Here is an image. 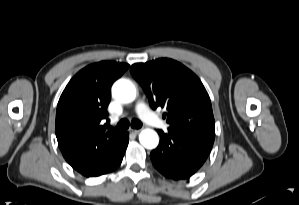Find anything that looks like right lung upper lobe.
<instances>
[{
  "label": "right lung upper lobe",
  "mask_w": 299,
  "mask_h": 205,
  "mask_svg": "<svg viewBox=\"0 0 299 205\" xmlns=\"http://www.w3.org/2000/svg\"><path fill=\"white\" fill-rule=\"evenodd\" d=\"M129 65L113 61L91 64L78 72L57 106L55 132L65 160L82 175L120 144L123 133L106 131L110 88Z\"/></svg>",
  "instance_id": "1"
}]
</instances>
